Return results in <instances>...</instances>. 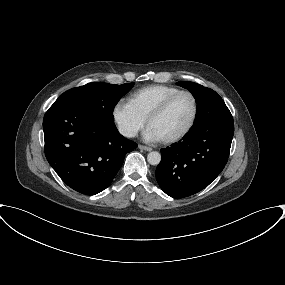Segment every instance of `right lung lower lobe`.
<instances>
[{
    "instance_id": "obj_1",
    "label": "right lung lower lobe",
    "mask_w": 285,
    "mask_h": 285,
    "mask_svg": "<svg viewBox=\"0 0 285 285\" xmlns=\"http://www.w3.org/2000/svg\"><path fill=\"white\" fill-rule=\"evenodd\" d=\"M43 130L49 164L66 185L86 195L108 187L126 153L137 147L114 124L64 104L49 108Z\"/></svg>"
}]
</instances>
